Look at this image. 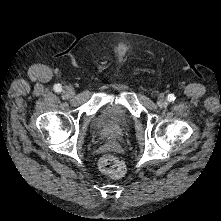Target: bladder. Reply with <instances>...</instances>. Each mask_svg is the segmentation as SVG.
Segmentation results:
<instances>
[{"mask_svg":"<svg viewBox=\"0 0 221 221\" xmlns=\"http://www.w3.org/2000/svg\"><path fill=\"white\" fill-rule=\"evenodd\" d=\"M129 118L117 107H106L95 118L94 129L104 137L118 138L128 128Z\"/></svg>","mask_w":221,"mask_h":221,"instance_id":"1","label":"bladder"}]
</instances>
